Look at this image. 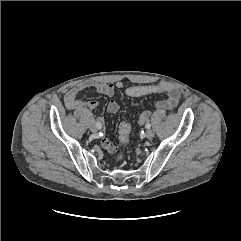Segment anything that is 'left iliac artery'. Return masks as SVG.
<instances>
[{"instance_id": "1", "label": "left iliac artery", "mask_w": 241, "mask_h": 241, "mask_svg": "<svg viewBox=\"0 0 241 241\" xmlns=\"http://www.w3.org/2000/svg\"><path fill=\"white\" fill-rule=\"evenodd\" d=\"M145 127H146L147 129H150V128H151V124H150V123H147V124L145 125Z\"/></svg>"}]
</instances>
